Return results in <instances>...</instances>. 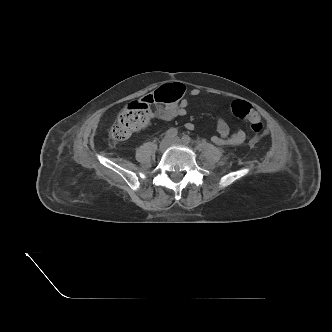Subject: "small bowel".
<instances>
[{
    "mask_svg": "<svg viewBox=\"0 0 332 332\" xmlns=\"http://www.w3.org/2000/svg\"><path fill=\"white\" fill-rule=\"evenodd\" d=\"M200 94V90L194 88L190 91V95L193 97H197ZM188 101L182 99L178 104L170 105L164 108L159 109L154 113V117L163 120V121H171L176 117L184 116L187 113ZM187 130H194L193 123H186L185 125ZM216 131L217 135H213L211 140L213 143L220 146H236L242 144L246 139V133L243 130H238L236 132H231L228 123L219 118L216 123Z\"/></svg>",
    "mask_w": 332,
    "mask_h": 332,
    "instance_id": "c3829d8e",
    "label": "small bowel"
}]
</instances>
